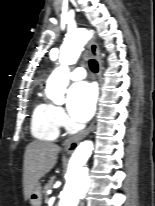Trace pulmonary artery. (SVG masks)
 I'll return each mask as SVG.
<instances>
[{
    "mask_svg": "<svg viewBox=\"0 0 155 206\" xmlns=\"http://www.w3.org/2000/svg\"><path fill=\"white\" fill-rule=\"evenodd\" d=\"M85 74H86V72H85L84 68L78 67L69 73V78L72 80H79V79L84 78Z\"/></svg>",
    "mask_w": 155,
    "mask_h": 206,
    "instance_id": "e3ab8cb5",
    "label": "pulmonary artery"
}]
</instances>
